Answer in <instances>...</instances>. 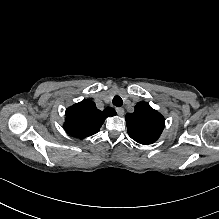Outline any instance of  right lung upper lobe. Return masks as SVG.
<instances>
[{"mask_svg":"<svg viewBox=\"0 0 219 219\" xmlns=\"http://www.w3.org/2000/svg\"><path fill=\"white\" fill-rule=\"evenodd\" d=\"M64 128L74 137H88L100 130L105 119L116 115V111L107 107L103 111L96 108L93 101L84 99L66 110Z\"/></svg>","mask_w":219,"mask_h":219,"instance_id":"obj_1","label":"right lung upper lobe"}]
</instances>
